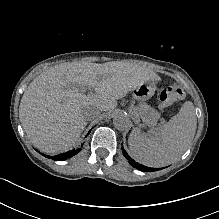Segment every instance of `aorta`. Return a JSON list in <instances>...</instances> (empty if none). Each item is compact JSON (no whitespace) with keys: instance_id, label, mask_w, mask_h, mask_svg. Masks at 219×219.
<instances>
[{"instance_id":"762f6f07","label":"aorta","mask_w":219,"mask_h":219,"mask_svg":"<svg viewBox=\"0 0 219 219\" xmlns=\"http://www.w3.org/2000/svg\"><path fill=\"white\" fill-rule=\"evenodd\" d=\"M113 125L120 131L128 130L131 126V121L126 113L118 111L113 115Z\"/></svg>"}]
</instances>
